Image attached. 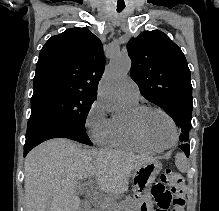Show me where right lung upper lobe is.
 <instances>
[{
  "label": "right lung upper lobe",
  "instance_id": "1",
  "mask_svg": "<svg viewBox=\"0 0 219 211\" xmlns=\"http://www.w3.org/2000/svg\"><path fill=\"white\" fill-rule=\"evenodd\" d=\"M105 58L101 41L86 28L52 36L40 51L34 92L59 86L96 96Z\"/></svg>",
  "mask_w": 219,
  "mask_h": 211
}]
</instances>
